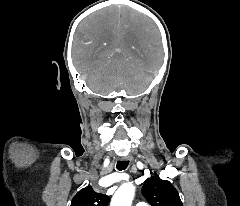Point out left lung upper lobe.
Here are the masks:
<instances>
[{"instance_id": "obj_1", "label": "left lung upper lobe", "mask_w": 240, "mask_h": 206, "mask_svg": "<svg viewBox=\"0 0 240 206\" xmlns=\"http://www.w3.org/2000/svg\"><path fill=\"white\" fill-rule=\"evenodd\" d=\"M142 192L151 206H183L174 186L157 175L145 181Z\"/></svg>"}]
</instances>
